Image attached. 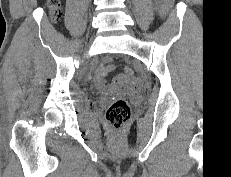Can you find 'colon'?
I'll list each match as a JSON object with an SVG mask.
<instances>
[{
    "instance_id": "5ec220e1",
    "label": "colon",
    "mask_w": 231,
    "mask_h": 177,
    "mask_svg": "<svg viewBox=\"0 0 231 177\" xmlns=\"http://www.w3.org/2000/svg\"><path fill=\"white\" fill-rule=\"evenodd\" d=\"M160 11H165L169 0H156ZM46 5L53 15L57 18L60 11V0H46ZM123 78L126 81H131L133 78V70L129 66H125L122 70ZM131 117V107L130 104L122 98L115 99L107 108L106 120L108 124L115 130L123 127Z\"/></svg>"
}]
</instances>
